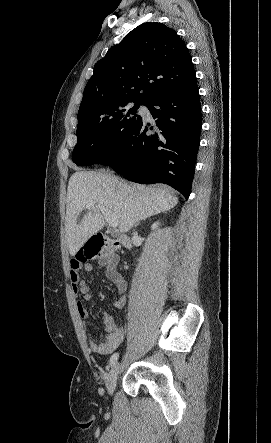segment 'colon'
<instances>
[{
    "mask_svg": "<svg viewBox=\"0 0 271 443\" xmlns=\"http://www.w3.org/2000/svg\"><path fill=\"white\" fill-rule=\"evenodd\" d=\"M118 245L101 237L90 238L78 251L75 260L84 263L93 259H101L103 263L113 262Z\"/></svg>",
    "mask_w": 271,
    "mask_h": 443,
    "instance_id": "1",
    "label": "colon"
}]
</instances>
